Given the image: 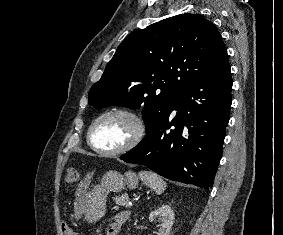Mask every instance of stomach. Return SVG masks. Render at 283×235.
Wrapping results in <instances>:
<instances>
[{
  "label": "stomach",
  "instance_id": "1",
  "mask_svg": "<svg viewBox=\"0 0 283 235\" xmlns=\"http://www.w3.org/2000/svg\"><path fill=\"white\" fill-rule=\"evenodd\" d=\"M139 179L135 172L121 174L114 170L107 171L100 184L80 197V209L89 222H97L106 212L107 196L110 192H121L126 187L135 189Z\"/></svg>",
  "mask_w": 283,
  "mask_h": 235
}]
</instances>
